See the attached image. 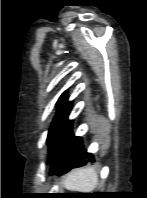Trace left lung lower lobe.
<instances>
[{"instance_id": "left-lung-lower-lobe-1", "label": "left lung lower lobe", "mask_w": 147, "mask_h": 198, "mask_svg": "<svg viewBox=\"0 0 147 198\" xmlns=\"http://www.w3.org/2000/svg\"><path fill=\"white\" fill-rule=\"evenodd\" d=\"M87 158L94 162L93 155L84 149L81 137L74 136L71 128L50 158V172L57 175L65 174L73 168L85 165Z\"/></svg>"}]
</instances>
